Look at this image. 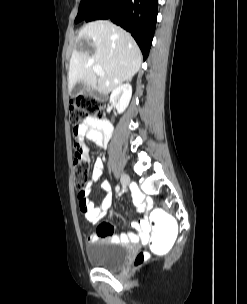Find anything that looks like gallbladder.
<instances>
[{
    "instance_id": "gallbladder-1",
    "label": "gallbladder",
    "mask_w": 247,
    "mask_h": 304,
    "mask_svg": "<svg viewBox=\"0 0 247 304\" xmlns=\"http://www.w3.org/2000/svg\"><path fill=\"white\" fill-rule=\"evenodd\" d=\"M85 89H86V86L84 85V83L78 82L72 87L70 94L72 96H77V95H80L81 93H83L85 91Z\"/></svg>"
}]
</instances>
